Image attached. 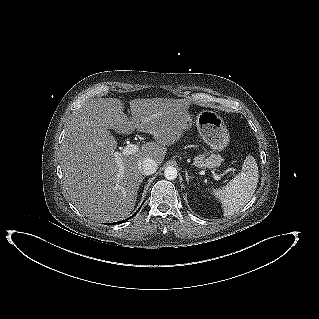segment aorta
I'll return each mask as SVG.
<instances>
[{
  "label": "aorta",
  "mask_w": 319,
  "mask_h": 319,
  "mask_svg": "<svg viewBox=\"0 0 319 319\" xmlns=\"http://www.w3.org/2000/svg\"><path fill=\"white\" fill-rule=\"evenodd\" d=\"M164 176L168 180H174L177 178V170L175 167H167L164 170Z\"/></svg>",
  "instance_id": "1"
}]
</instances>
